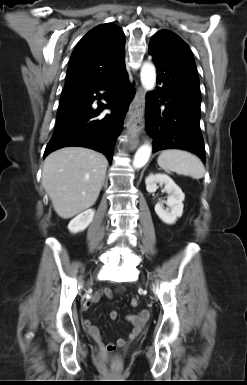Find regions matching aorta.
<instances>
[{
  "instance_id": "aorta-1",
  "label": "aorta",
  "mask_w": 247,
  "mask_h": 385,
  "mask_svg": "<svg viewBox=\"0 0 247 385\" xmlns=\"http://www.w3.org/2000/svg\"><path fill=\"white\" fill-rule=\"evenodd\" d=\"M140 79L146 91L154 89L156 84V69L152 63L145 62L142 65ZM152 148L149 144L142 145L135 153L133 166L136 169L142 168L149 160Z\"/></svg>"
}]
</instances>
